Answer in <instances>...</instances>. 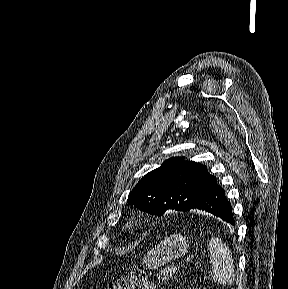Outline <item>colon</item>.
Segmentation results:
<instances>
[{
	"instance_id": "colon-1",
	"label": "colon",
	"mask_w": 288,
	"mask_h": 289,
	"mask_svg": "<svg viewBox=\"0 0 288 289\" xmlns=\"http://www.w3.org/2000/svg\"><path fill=\"white\" fill-rule=\"evenodd\" d=\"M108 289H156L143 269H135L113 281Z\"/></svg>"
}]
</instances>
